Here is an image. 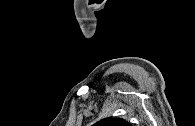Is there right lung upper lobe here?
<instances>
[{
    "instance_id": "obj_1",
    "label": "right lung upper lobe",
    "mask_w": 195,
    "mask_h": 126,
    "mask_svg": "<svg viewBox=\"0 0 195 126\" xmlns=\"http://www.w3.org/2000/svg\"><path fill=\"white\" fill-rule=\"evenodd\" d=\"M93 126H130V124L121 118H104Z\"/></svg>"
}]
</instances>
